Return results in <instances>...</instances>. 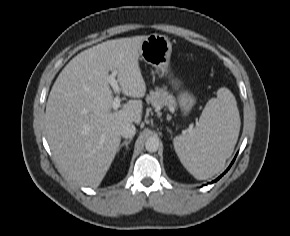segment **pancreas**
<instances>
[{"label": "pancreas", "instance_id": "cf45deb5", "mask_svg": "<svg viewBox=\"0 0 290 236\" xmlns=\"http://www.w3.org/2000/svg\"><path fill=\"white\" fill-rule=\"evenodd\" d=\"M146 101L155 108L167 107L170 111H174L176 108L175 98L169 94L165 88H157L156 91H151L147 96Z\"/></svg>", "mask_w": 290, "mask_h": 236}]
</instances>
